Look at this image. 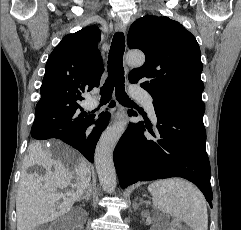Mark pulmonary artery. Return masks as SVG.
<instances>
[{"instance_id": "obj_1", "label": "pulmonary artery", "mask_w": 241, "mask_h": 230, "mask_svg": "<svg viewBox=\"0 0 241 230\" xmlns=\"http://www.w3.org/2000/svg\"><path fill=\"white\" fill-rule=\"evenodd\" d=\"M131 94L135 99L143 103V105L146 107L147 111L149 112L151 118L153 120H156L152 96L146 91H144L143 89H141L139 86L131 87ZM97 106H98V102L94 98H91L85 102V107L87 109H94Z\"/></svg>"}]
</instances>
